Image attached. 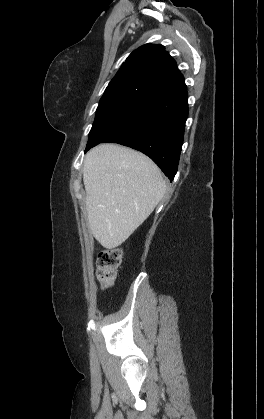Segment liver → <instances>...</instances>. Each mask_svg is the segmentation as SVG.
<instances>
[{
	"label": "liver",
	"mask_w": 264,
	"mask_h": 419,
	"mask_svg": "<svg viewBox=\"0 0 264 419\" xmlns=\"http://www.w3.org/2000/svg\"><path fill=\"white\" fill-rule=\"evenodd\" d=\"M83 181L89 229L106 249L121 245L166 192L150 158L117 144H100L86 154Z\"/></svg>",
	"instance_id": "6515ba94"
}]
</instances>
